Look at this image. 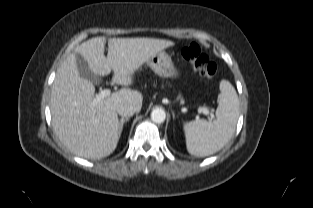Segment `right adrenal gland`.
Instances as JSON below:
<instances>
[{"label": "right adrenal gland", "instance_id": "2a0ac1e0", "mask_svg": "<svg viewBox=\"0 0 313 208\" xmlns=\"http://www.w3.org/2000/svg\"><path fill=\"white\" fill-rule=\"evenodd\" d=\"M129 119H130V117H125V118L122 117V118L120 119V121H119V126H120L119 131H120V133L122 132L124 123L127 122V121H129Z\"/></svg>", "mask_w": 313, "mask_h": 208}]
</instances>
